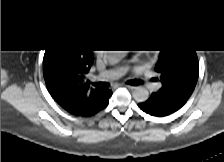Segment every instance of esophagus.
<instances>
[{
	"instance_id": "1",
	"label": "esophagus",
	"mask_w": 224,
	"mask_h": 162,
	"mask_svg": "<svg viewBox=\"0 0 224 162\" xmlns=\"http://www.w3.org/2000/svg\"><path fill=\"white\" fill-rule=\"evenodd\" d=\"M125 87H127V88H129V89H134V87L131 86V85H125Z\"/></svg>"
}]
</instances>
